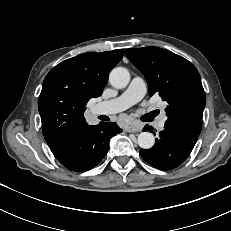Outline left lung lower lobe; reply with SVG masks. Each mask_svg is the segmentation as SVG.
Segmentation results:
<instances>
[{
	"instance_id": "1",
	"label": "left lung lower lobe",
	"mask_w": 231,
	"mask_h": 231,
	"mask_svg": "<svg viewBox=\"0 0 231 231\" xmlns=\"http://www.w3.org/2000/svg\"><path fill=\"white\" fill-rule=\"evenodd\" d=\"M154 128L146 125L143 131L152 132ZM198 137L186 130L165 123L159 132L155 145L150 149H141L142 158L160 170H172L182 164L189 156Z\"/></svg>"
}]
</instances>
